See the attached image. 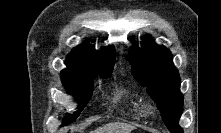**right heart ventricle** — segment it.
<instances>
[{
	"label": "right heart ventricle",
	"instance_id": "1",
	"mask_svg": "<svg viewBox=\"0 0 221 133\" xmlns=\"http://www.w3.org/2000/svg\"><path fill=\"white\" fill-rule=\"evenodd\" d=\"M126 109L135 118L142 116L143 108L140 102L134 98H127Z\"/></svg>",
	"mask_w": 221,
	"mask_h": 133
}]
</instances>
